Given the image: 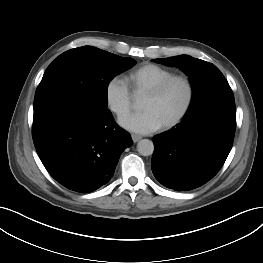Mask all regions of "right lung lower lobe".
Segmentation results:
<instances>
[{
    "mask_svg": "<svg viewBox=\"0 0 263 263\" xmlns=\"http://www.w3.org/2000/svg\"><path fill=\"white\" fill-rule=\"evenodd\" d=\"M32 135L49 174L79 193L106 184L122 152L133 144L110 111H95L71 100L34 109Z\"/></svg>",
    "mask_w": 263,
    "mask_h": 263,
    "instance_id": "obj_1",
    "label": "right lung lower lobe"
}]
</instances>
